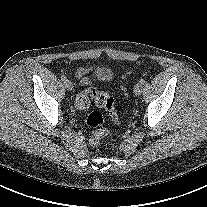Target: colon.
<instances>
[{
    "label": "colon",
    "mask_w": 207,
    "mask_h": 207,
    "mask_svg": "<svg viewBox=\"0 0 207 207\" xmlns=\"http://www.w3.org/2000/svg\"><path fill=\"white\" fill-rule=\"evenodd\" d=\"M122 91L126 95V88L122 86ZM94 98L98 107L104 109L110 116L113 122H121V117L115 110L113 98L106 92L99 91L96 87H91L77 95L75 106L80 111H85L90 106L89 97ZM104 117L100 112L93 111L85 117V124L92 128L89 142L92 146H98L100 141L109 135V130L103 128Z\"/></svg>",
    "instance_id": "5ec220e1"
}]
</instances>
